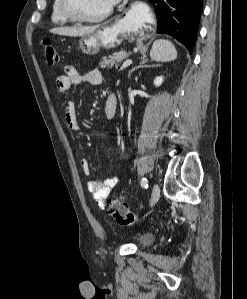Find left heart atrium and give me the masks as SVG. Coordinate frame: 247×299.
<instances>
[{
    "instance_id": "left-heart-atrium-1",
    "label": "left heart atrium",
    "mask_w": 247,
    "mask_h": 299,
    "mask_svg": "<svg viewBox=\"0 0 247 299\" xmlns=\"http://www.w3.org/2000/svg\"><path fill=\"white\" fill-rule=\"evenodd\" d=\"M119 0H110V2H111V5H113V4H115V3H117Z\"/></svg>"
}]
</instances>
